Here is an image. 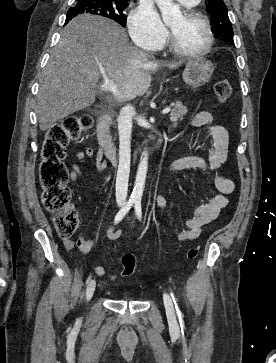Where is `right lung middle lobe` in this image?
<instances>
[{"instance_id":"dd1d6c3e","label":"right lung middle lobe","mask_w":276,"mask_h":363,"mask_svg":"<svg viewBox=\"0 0 276 363\" xmlns=\"http://www.w3.org/2000/svg\"><path fill=\"white\" fill-rule=\"evenodd\" d=\"M128 2L111 0H76L75 6L70 8L67 17H75L78 14H93L110 18L122 26L126 25L127 17L123 13Z\"/></svg>"}]
</instances>
